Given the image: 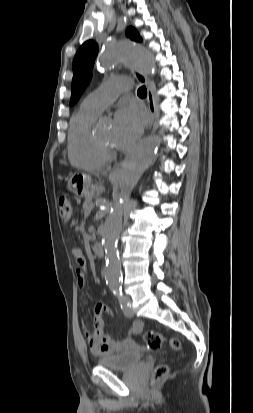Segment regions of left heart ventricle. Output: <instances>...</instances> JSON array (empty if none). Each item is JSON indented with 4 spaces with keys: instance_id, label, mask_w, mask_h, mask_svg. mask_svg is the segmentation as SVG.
Returning <instances> with one entry per match:
<instances>
[{
    "instance_id": "1",
    "label": "left heart ventricle",
    "mask_w": 253,
    "mask_h": 413,
    "mask_svg": "<svg viewBox=\"0 0 253 413\" xmlns=\"http://www.w3.org/2000/svg\"><path fill=\"white\" fill-rule=\"evenodd\" d=\"M96 133L102 141H104L107 144H112L113 131L110 127L101 128Z\"/></svg>"
}]
</instances>
